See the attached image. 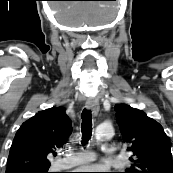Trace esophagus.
Segmentation results:
<instances>
[{"instance_id": "obj_1", "label": "esophagus", "mask_w": 173, "mask_h": 173, "mask_svg": "<svg viewBox=\"0 0 173 173\" xmlns=\"http://www.w3.org/2000/svg\"><path fill=\"white\" fill-rule=\"evenodd\" d=\"M86 109L91 110L94 115L99 112V102L95 97H89L85 104Z\"/></svg>"}]
</instances>
